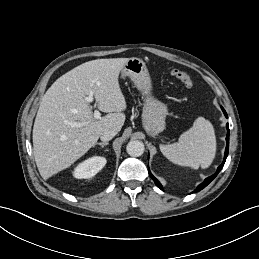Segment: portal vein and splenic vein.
Masks as SVG:
<instances>
[{"instance_id": "portal-vein-and-splenic-vein-1", "label": "portal vein and splenic vein", "mask_w": 259, "mask_h": 259, "mask_svg": "<svg viewBox=\"0 0 259 259\" xmlns=\"http://www.w3.org/2000/svg\"><path fill=\"white\" fill-rule=\"evenodd\" d=\"M94 98H93V93L91 92L87 97H85V101L86 102H93ZM101 117V113L98 110L94 111V118L95 119H99ZM68 125L72 126V127H81L82 123H78V122H66Z\"/></svg>"}]
</instances>
